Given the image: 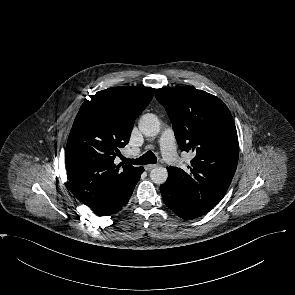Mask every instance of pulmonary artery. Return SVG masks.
<instances>
[{
	"label": "pulmonary artery",
	"instance_id": "1",
	"mask_svg": "<svg viewBox=\"0 0 295 295\" xmlns=\"http://www.w3.org/2000/svg\"><path fill=\"white\" fill-rule=\"evenodd\" d=\"M159 143L164 159L169 164H174L177 161V153L173 131L165 129L161 134Z\"/></svg>",
	"mask_w": 295,
	"mask_h": 295
}]
</instances>
